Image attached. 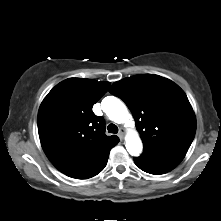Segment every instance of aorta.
<instances>
[{"instance_id":"1","label":"aorta","mask_w":221,"mask_h":221,"mask_svg":"<svg viewBox=\"0 0 221 221\" xmlns=\"http://www.w3.org/2000/svg\"><path fill=\"white\" fill-rule=\"evenodd\" d=\"M102 109L109 119L116 123H133L132 116L129 114L126 105L116 97L108 96L104 98L102 101ZM125 141L126 149L130 155L137 157L141 154L143 145L137 132H129Z\"/></svg>"}]
</instances>
